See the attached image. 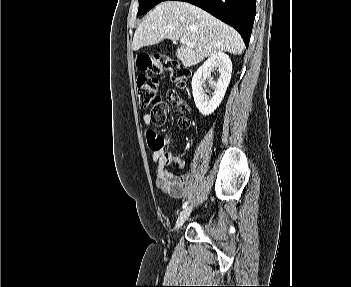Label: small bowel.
Masks as SVG:
<instances>
[{"label":"small bowel","instance_id":"1","mask_svg":"<svg viewBox=\"0 0 351 287\" xmlns=\"http://www.w3.org/2000/svg\"><path fill=\"white\" fill-rule=\"evenodd\" d=\"M142 121L146 126H151L152 116L144 114ZM145 132V142H148V148L153 152L152 161L156 165V185L169 196L182 198L185 194V188L181 177L176 171L167 170L165 167L175 165L177 170H182L186 164L185 160L165 150L168 147L167 136H161L160 132H154V127H145Z\"/></svg>","mask_w":351,"mask_h":287}]
</instances>
